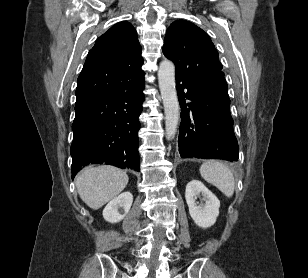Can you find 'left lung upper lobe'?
Wrapping results in <instances>:
<instances>
[{
    "mask_svg": "<svg viewBox=\"0 0 308 278\" xmlns=\"http://www.w3.org/2000/svg\"><path fill=\"white\" fill-rule=\"evenodd\" d=\"M163 53L176 66V77L187 81L222 72L219 54L210 37L186 20H177L167 29Z\"/></svg>",
    "mask_w": 308,
    "mask_h": 278,
    "instance_id": "obj_1",
    "label": "left lung upper lobe"
}]
</instances>
